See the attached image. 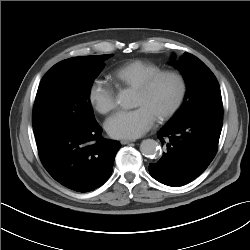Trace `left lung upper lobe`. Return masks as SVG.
Masks as SVG:
<instances>
[{"mask_svg":"<svg viewBox=\"0 0 250 250\" xmlns=\"http://www.w3.org/2000/svg\"><path fill=\"white\" fill-rule=\"evenodd\" d=\"M171 64L183 73L187 92L183 104L168 124L181 122L211 108L222 107L218 81L201 60L185 52L179 60L172 59Z\"/></svg>","mask_w":250,"mask_h":250,"instance_id":"1","label":"left lung upper lobe"}]
</instances>
